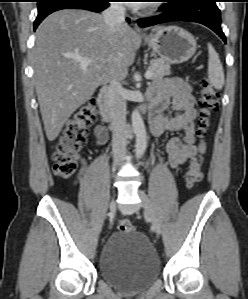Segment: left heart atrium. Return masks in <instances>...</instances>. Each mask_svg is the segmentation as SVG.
Masks as SVG:
<instances>
[{
    "instance_id": "1",
    "label": "left heart atrium",
    "mask_w": 248,
    "mask_h": 299,
    "mask_svg": "<svg viewBox=\"0 0 248 299\" xmlns=\"http://www.w3.org/2000/svg\"><path fill=\"white\" fill-rule=\"evenodd\" d=\"M142 1H144V0H134V1H130V2H131L130 5H132V6H134V7H141V6H143V4L145 3V2H142Z\"/></svg>"
}]
</instances>
